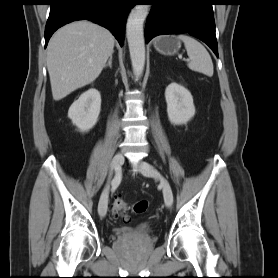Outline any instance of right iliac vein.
Returning a JSON list of instances; mask_svg holds the SVG:
<instances>
[{"label": "right iliac vein", "instance_id": "1", "mask_svg": "<svg viewBox=\"0 0 278 278\" xmlns=\"http://www.w3.org/2000/svg\"><path fill=\"white\" fill-rule=\"evenodd\" d=\"M123 163H124V157L121 153H118L112 159L111 169L113 170L116 168H121ZM108 194H109V185H107L105 187V189L103 190V192L100 196V200H99V204H98V212L101 217H105V215L107 213Z\"/></svg>", "mask_w": 278, "mask_h": 278}]
</instances>
